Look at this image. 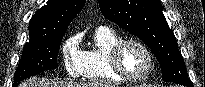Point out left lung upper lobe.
Instances as JSON below:
<instances>
[{
	"label": "left lung upper lobe",
	"instance_id": "obj_1",
	"mask_svg": "<svg viewBox=\"0 0 205 87\" xmlns=\"http://www.w3.org/2000/svg\"><path fill=\"white\" fill-rule=\"evenodd\" d=\"M102 14L151 49L164 81L192 87L182 55L158 0H99Z\"/></svg>",
	"mask_w": 205,
	"mask_h": 87
}]
</instances>
